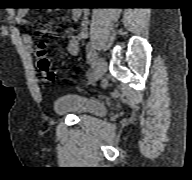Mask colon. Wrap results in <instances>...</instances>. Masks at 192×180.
I'll use <instances>...</instances> for the list:
<instances>
[{"label":"colon","mask_w":192,"mask_h":180,"mask_svg":"<svg viewBox=\"0 0 192 180\" xmlns=\"http://www.w3.org/2000/svg\"><path fill=\"white\" fill-rule=\"evenodd\" d=\"M36 54V65L38 70L43 74L47 81L55 80V72L52 69L51 61L47 57L45 52V44L40 43L35 49Z\"/></svg>","instance_id":"1"}]
</instances>
